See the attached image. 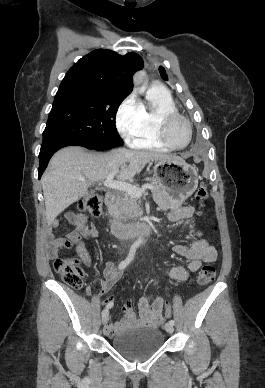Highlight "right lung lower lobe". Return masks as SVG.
<instances>
[{"label": "right lung lower lobe", "instance_id": "obj_1", "mask_svg": "<svg viewBox=\"0 0 265 388\" xmlns=\"http://www.w3.org/2000/svg\"><path fill=\"white\" fill-rule=\"evenodd\" d=\"M70 145H78V146L86 147L88 149H95L98 151L105 150V149L93 148L92 146H89L87 143L81 140L71 139V138L56 139L46 144H42L41 150L39 153V160H40V166L38 168L39 179L41 178V175L43 174L45 168L47 167V164L50 158L52 157V155L60 148H63L65 146H70Z\"/></svg>", "mask_w": 265, "mask_h": 388}]
</instances>
